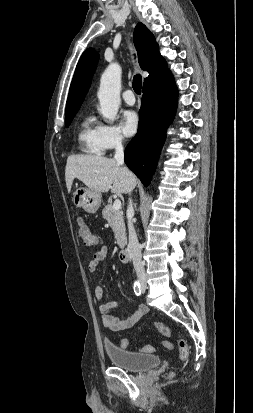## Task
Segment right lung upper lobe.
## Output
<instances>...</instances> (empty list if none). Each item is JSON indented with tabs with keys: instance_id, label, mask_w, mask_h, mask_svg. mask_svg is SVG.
Returning <instances> with one entry per match:
<instances>
[{
	"instance_id": "obj_1",
	"label": "right lung upper lobe",
	"mask_w": 253,
	"mask_h": 413,
	"mask_svg": "<svg viewBox=\"0 0 253 413\" xmlns=\"http://www.w3.org/2000/svg\"><path fill=\"white\" fill-rule=\"evenodd\" d=\"M133 38L140 67L149 73L143 86L169 72L164 58L159 53L154 35L144 24H137ZM98 57L93 49H87L81 56L70 85L65 117L76 114L79 110L89 89Z\"/></svg>"
}]
</instances>
